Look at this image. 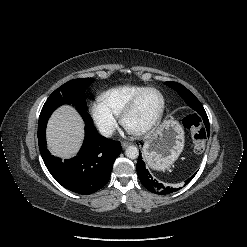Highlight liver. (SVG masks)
<instances>
[{
	"mask_svg": "<svg viewBox=\"0 0 247 247\" xmlns=\"http://www.w3.org/2000/svg\"><path fill=\"white\" fill-rule=\"evenodd\" d=\"M84 124L74 107L64 105L51 116L47 125V146L60 158L74 156L83 140Z\"/></svg>",
	"mask_w": 247,
	"mask_h": 247,
	"instance_id": "obj_1",
	"label": "liver"
}]
</instances>
